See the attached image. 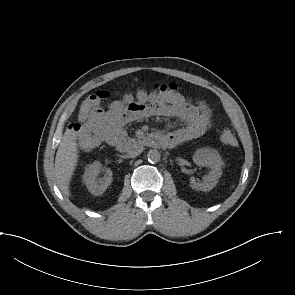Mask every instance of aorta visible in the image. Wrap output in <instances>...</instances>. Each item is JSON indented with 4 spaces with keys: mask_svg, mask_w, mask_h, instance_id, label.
<instances>
[{
    "mask_svg": "<svg viewBox=\"0 0 295 295\" xmlns=\"http://www.w3.org/2000/svg\"><path fill=\"white\" fill-rule=\"evenodd\" d=\"M147 158L150 163H157L161 159L160 152L158 150L151 149L147 153Z\"/></svg>",
    "mask_w": 295,
    "mask_h": 295,
    "instance_id": "obj_1",
    "label": "aorta"
}]
</instances>
